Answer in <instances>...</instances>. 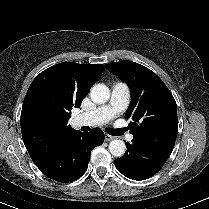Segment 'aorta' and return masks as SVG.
I'll return each mask as SVG.
<instances>
[{"instance_id": "aorta-1", "label": "aorta", "mask_w": 209, "mask_h": 209, "mask_svg": "<svg viewBox=\"0 0 209 209\" xmlns=\"http://www.w3.org/2000/svg\"><path fill=\"white\" fill-rule=\"evenodd\" d=\"M90 97L94 103L103 104L108 101L110 90L104 84H97L92 87ZM109 151L114 157H122L126 152V145L122 140H112L109 143Z\"/></svg>"}]
</instances>
